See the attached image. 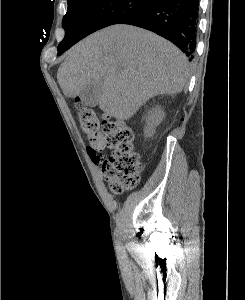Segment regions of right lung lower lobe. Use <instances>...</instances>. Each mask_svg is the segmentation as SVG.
<instances>
[{
	"label": "right lung lower lobe",
	"instance_id": "1",
	"mask_svg": "<svg viewBox=\"0 0 245 300\" xmlns=\"http://www.w3.org/2000/svg\"><path fill=\"white\" fill-rule=\"evenodd\" d=\"M199 0H153L121 20L150 30L174 43L187 56L193 57L198 28Z\"/></svg>",
	"mask_w": 245,
	"mask_h": 300
}]
</instances>
